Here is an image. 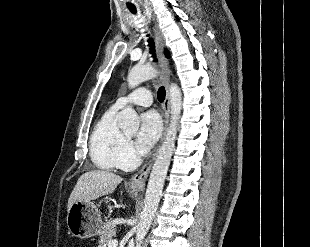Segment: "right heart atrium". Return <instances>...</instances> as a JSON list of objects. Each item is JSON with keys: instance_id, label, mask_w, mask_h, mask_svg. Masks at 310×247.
Wrapping results in <instances>:
<instances>
[{"instance_id": "d8ad5b80", "label": "right heart atrium", "mask_w": 310, "mask_h": 247, "mask_svg": "<svg viewBox=\"0 0 310 247\" xmlns=\"http://www.w3.org/2000/svg\"><path fill=\"white\" fill-rule=\"evenodd\" d=\"M134 159H135V153L132 143L130 141H126L122 151L120 167L125 168L131 165Z\"/></svg>"}]
</instances>
